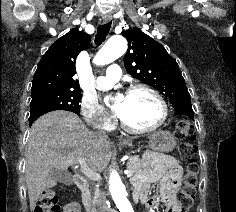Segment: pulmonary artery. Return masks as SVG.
Wrapping results in <instances>:
<instances>
[{
    "mask_svg": "<svg viewBox=\"0 0 236 212\" xmlns=\"http://www.w3.org/2000/svg\"><path fill=\"white\" fill-rule=\"evenodd\" d=\"M122 71L119 65L112 64L107 68L106 75L100 76L96 85L99 89L111 88L121 77Z\"/></svg>",
    "mask_w": 236,
    "mask_h": 212,
    "instance_id": "obj_1",
    "label": "pulmonary artery"
}]
</instances>
